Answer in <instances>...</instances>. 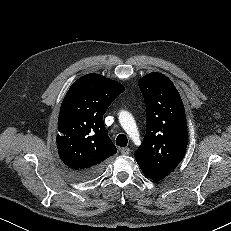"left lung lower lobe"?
<instances>
[{
    "mask_svg": "<svg viewBox=\"0 0 231 231\" xmlns=\"http://www.w3.org/2000/svg\"><path fill=\"white\" fill-rule=\"evenodd\" d=\"M142 171L145 173L146 176H148L153 181H159L164 179L165 177L156 173L151 172L150 170L144 168L143 166L139 165Z\"/></svg>",
    "mask_w": 231,
    "mask_h": 231,
    "instance_id": "left-lung-lower-lobe-1",
    "label": "left lung lower lobe"
}]
</instances>
